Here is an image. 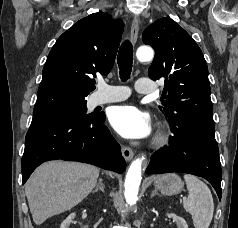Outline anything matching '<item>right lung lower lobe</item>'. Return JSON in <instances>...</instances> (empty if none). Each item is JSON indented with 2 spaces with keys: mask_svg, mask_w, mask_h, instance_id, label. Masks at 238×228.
<instances>
[{
  "mask_svg": "<svg viewBox=\"0 0 238 228\" xmlns=\"http://www.w3.org/2000/svg\"><path fill=\"white\" fill-rule=\"evenodd\" d=\"M104 121V113L90 120L71 114L34 116L21 161L22 183L41 163L55 159L89 163L123 173L126 163L120 146Z\"/></svg>",
  "mask_w": 238,
  "mask_h": 228,
  "instance_id": "98d812e1",
  "label": "right lung lower lobe"
}]
</instances>
